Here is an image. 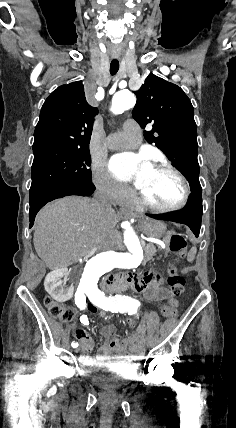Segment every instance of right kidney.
<instances>
[{
	"instance_id": "right-kidney-1",
	"label": "right kidney",
	"mask_w": 236,
	"mask_h": 428,
	"mask_svg": "<svg viewBox=\"0 0 236 428\" xmlns=\"http://www.w3.org/2000/svg\"><path fill=\"white\" fill-rule=\"evenodd\" d=\"M44 278V285L47 286L48 292L51 293V300L57 301L58 305H63L65 301L71 298L70 292L73 291L74 286L72 283H61L66 276L65 269H46Z\"/></svg>"
}]
</instances>
